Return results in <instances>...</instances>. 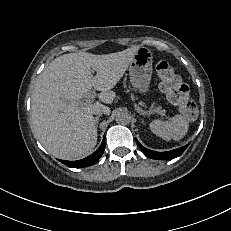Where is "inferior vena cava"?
<instances>
[{"instance_id":"obj_1","label":"inferior vena cava","mask_w":231,"mask_h":231,"mask_svg":"<svg viewBox=\"0 0 231 231\" xmlns=\"http://www.w3.org/2000/svg\"><path fill=\"white\" fill-rule=\"evenodd\" d=\"M107 110H108V108L106 106H101V107L95 109L93 113L95 115H99V114L101 115L102 113L106 114Z\"/></svg>"}]
</instances>
